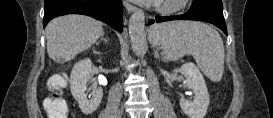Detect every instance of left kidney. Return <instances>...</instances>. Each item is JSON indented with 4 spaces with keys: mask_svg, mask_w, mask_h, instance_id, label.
<instances>
[{
    "mask_svg": "<svg viewBox=\"0 0 273 118\" xmlns=\"http://www.w3.org/2000/svg\"><path fill=\"white\" fill-rule=\"evenodd\" d=\"M177 73H181L186 78L187 87L195 94L193 101L181 98L180 107L182 111L189 118H204L209 106V93L203 75L192 62L173 70V76H176Z\"/></svg>",
    "mask_w": 273,
    "mask_h": 118,
    "instance_id": "5707ae66",
    "label": "left kidney"
}]
</instances>
